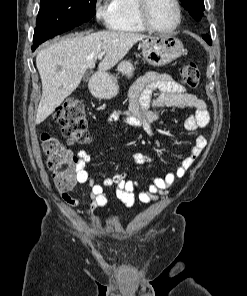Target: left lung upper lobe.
<instances>
[{
  "mask_svg": "<svg viewBox=\"0 0 247 296\" xmlns=\"http://www.w3.org/2000/svg\"><path fill=\"white\" fill-rule=\"evenodd\" d=\"M183 7L192 15L196 20H200L205 10L203 0H180Z\"/></svg>",
  "mask_w": 247,
  "mask_h": 296,
  "instance_id": "1",
  "label": "left lung upper lobe"
}]
</instances>
